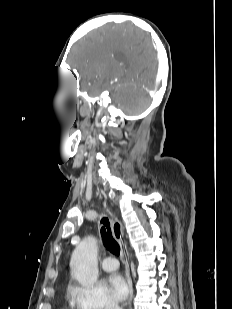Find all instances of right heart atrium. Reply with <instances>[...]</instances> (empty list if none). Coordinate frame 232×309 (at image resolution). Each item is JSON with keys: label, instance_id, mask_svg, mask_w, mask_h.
<instances>
[{"label": "right heart atrium", "instance_id": "d8ad5b80", "mask_svg": "<svg viewBox=\"0 0 232 309\" xmlns=\"http://www.w3.org/2000/svg\"><path fill=\"white\" fill-rule=\"evenodd\" d=\"M68 296L76 309H119L108 291L100 286L71 284Z\"/></svg>", "mask_w": 232, "mask_h": 309}]
</instances>
